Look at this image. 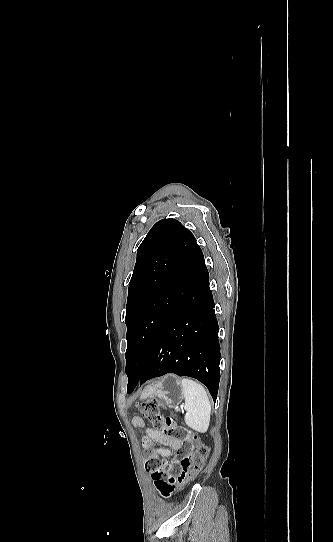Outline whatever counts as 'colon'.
Returning <instances> with one entry per match:
<instances>
[{
    "label": "colon",
    "mask_w": 333,
    "mask_h": 542,
    "mask_svg": "<svg viewBox=\"0 0 333 542\" xmlns=\"http://www.w3.org/2000/svg\"><path fill=\"white\" fill-rule=\"evenodd\" d=\"M141 415L149 421L158 433H163L164 439L182 443L183 450L175 451L178 468L167 459L150 458L145 464L146 471L155 478L154 487L163 498H169L176 487L182 488L204 465L208 448L201 443L196 432L188 426L176 422L172 414L163 415L160 412V402L149 399L140 405Z\"/></svg>",
    "instance_id": "obj_1"
}]
</instances>
